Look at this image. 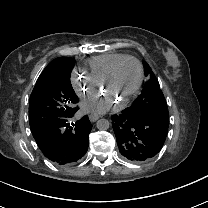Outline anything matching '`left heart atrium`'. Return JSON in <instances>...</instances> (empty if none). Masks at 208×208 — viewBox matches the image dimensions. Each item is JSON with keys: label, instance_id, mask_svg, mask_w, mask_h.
Here are the masks:
<instances>
[{"label": "left heart atrium", "instance_id": "1", "mask_svg": "<svg viewBox=\"0 0 208 208\" xmlns=\"http://www.w3.org/2000/svg\"><path fill=\"white\" fill-rule=\"evenodd\" d=\"M111 105L110 101L101 99L99 102L96 99L83 101L81 106L82 110L86 113H103Z\"/></svg>", "mask_w": 208, "mask_h": 208}]
</instances>
